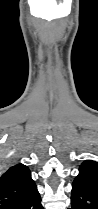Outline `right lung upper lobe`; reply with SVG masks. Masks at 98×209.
Masks as SVG:
<instances>
[{
  "mask_svg": "<svg viewBox=\"0 0 98 209\" xmlns=\"http://www.w3.org/2000/svg\"><path fill=\"white\" fill-rule=\"evenodd\" d=\"M36 188L29 168L23 164L10 167L0 177V209L10 206Z\"/></svg>",
  "mask_w": 98,
  "mask_h": 209,
  "instance_id": "cb5924a9",
  "label": "right lung upper lobe"
}]
</instances>
